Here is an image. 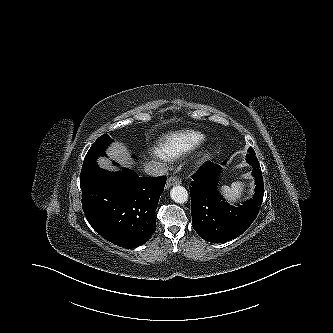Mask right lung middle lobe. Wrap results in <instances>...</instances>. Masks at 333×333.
<instances>
[{"mask_svg":"<svg viewBox=\"0 0 333 333\" xmlns=\"http://www.w3.org/2000/svg\"><path fill=\"white\" fill-rule=\"evenodd\" d=\"M110 142H112V139L107 134L100 136L94 142L84 158L80 177L91 174L94 169L98 167L96 164V158L105 155V149Z\"/></svg>","mask_w":333,"mask_h":333,"instance_id":"right-lung-middle-lobe-1","label":"right lung middle lobe"}]
</instances>
